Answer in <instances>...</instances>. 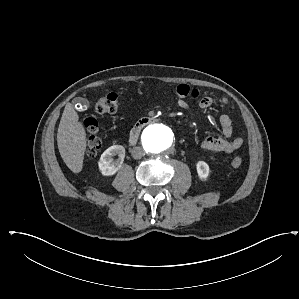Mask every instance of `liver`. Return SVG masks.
Wrapping results in <instances>:
<instances>
[{"instance_id":"liver-1","label":"liver","mask_w":299,"mask_h":299,"mask_svg":"<svg viewBox=\"0 0 299 299\" xmlns=\"http://www.w3.org/2000/svg\"><path fill=\"white\" fill-rule=\"evenodd\" d=\"M57 145L67 167L74 173L81 172L87 146L86 132L71 103L66 104L58 132Z\"/></svg>"}]
</instances>
